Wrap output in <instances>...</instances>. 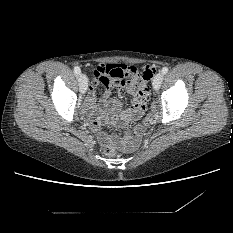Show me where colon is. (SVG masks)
<instances>
[{
	"instance_id": "colon-1",
	"label": "colon",
	"mask_w": 233,
	"mask_h": 233,
	"mask_svg": "<svg viewBox=\"0 0 233 233\" xmlns=\"http://www.w3.org/2000/svg\"><path fill=\"white\" fill-rule=\"evenodd\" d=\"M125 67H126L125 71L123 72V74H121V77L123 79L136 78L139 80L145 79L147 81H150L152 80L155 74L154 68L150 65H145L140 69H136L129 66H125ZM148 97H149L148 89H142L139 90L138 93L136 94L135 100L139 103L146 102ZM104 152L107 155L113 156L117 154V149L114 146H107L106 148H104Z\"/></svg>"
}]
</instances>
